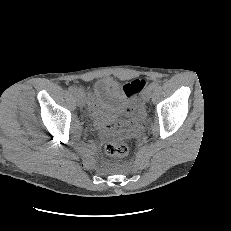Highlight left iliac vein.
Returning a JSON list of instances; mask_svg holds the SVG:
<instances>
[{
  "label": "left iliac vein",
  "instance_id": "1",
  "mask_svg": "<svg viewBox=\"0 0 231 231\" xmlns=\"http://www.w3.org/2000/svg\"><path fill=\"white\" fill-rule=\"evenodd\" d=\"M152 92H153V89L150 86L146 87V89L143 92L144 101L146 102L149 101V99L151 98Z\"/></svg>",
  "mask_w": 231,
  "mask_h": 231
}]
</instances>
